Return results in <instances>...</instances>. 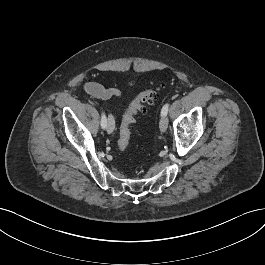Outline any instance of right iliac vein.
Masks as SVG:
<instances>
[{
    "instance_id": "63e3f726",
    "label": "right iliac vein",
    "mask_w": 265,
    "mask_h": 265,
    "mask_svg": "<svg viewBox=\"0 0 265 265\" xmlns=\"http://www.w3.org/2000/svg\"><path fill=\"white\" fill-rule=\"evenodd\" d=\"M114 128H115L114 119L111 115H109L107 120L106 130L109 134H111L114 131Z\"/></svg>"
}]
</instances>
